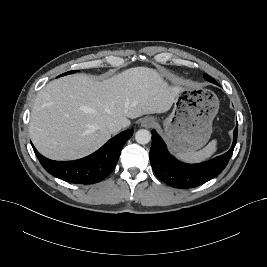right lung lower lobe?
<instances>
[{
	"instance_id": "1",
	"label": "right lung lower lobe",
	"mask_w": 267,
	"mask_h": 267,
	"mask_svg": "<svg viewBox=\"0 0 267 267\" xmlns=\"http://www.w3.org/2000/svg\"><path fill=\"white\" fill-rule=\"evenodd\" d=\"M133 130H126L111 138L93 154L74 161H53L33 147L44 169L53 176L76 184H93L106 178L115 168L121 150Z\"/></svg>"
}]
</instances>
